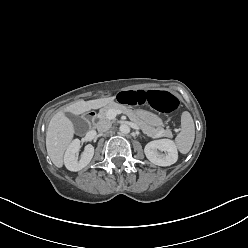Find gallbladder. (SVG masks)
<instances>
[{
    "label": "gallbladder",
    "instance_id": "bac80fb5",
    "mask_svg": "<svg viewBox=\"0 0 248 248\" xmlns=\"http://www.w3.org/2000/svg\"><path fill=\"white\" fill-rule=\"evenodd\" d=\"M67 116L73 122L74 127L77 131L81 132V131L86 130L87 122L84 119H82V118H80L74 114H71V113H68Z\"/></svg>",
    "mask_w": 248,
    "mask_h": 248
}]
</instances>
